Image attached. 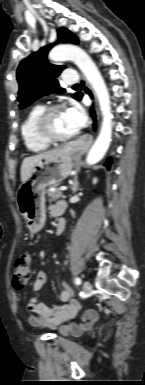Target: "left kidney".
<instances>
[{"mask_svg":"<svg viewBox=\"0 0 145 385\" xmlns=\"http://www.w3.org/2000/svg\"><path fill=\"white\" fill-rule=\"evenodd\" d=\"M97 183V178H94L93 179V184H96Z\"/></svg>","mask_w":145,"mask_h":385,"instance_id":"left-kidney-1","label":"left kidney"}]
</instances>
